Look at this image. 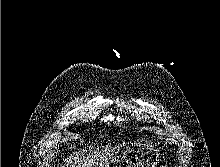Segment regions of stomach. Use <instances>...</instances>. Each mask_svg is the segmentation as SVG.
I'll list each match as a JSON object with an SVG mask.
<instances>
[{
  "instance_id": "1",
  "label": "stomach",
  "mask_w": 220,
  "mask_h": 167,
  "mask_svg": "<svg viewBox=\"0 0 220 167\" xmlns=\"http://www.w3.org/2000/svg\"><path fill=\"white\" fill-rule=\"evenodd\" d=\"M159 150L152 145L128 143L118 146L108 167H155Z\"/></svg>"
}]
</instances>
